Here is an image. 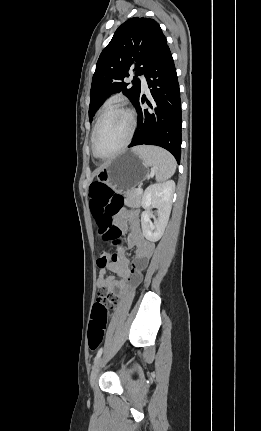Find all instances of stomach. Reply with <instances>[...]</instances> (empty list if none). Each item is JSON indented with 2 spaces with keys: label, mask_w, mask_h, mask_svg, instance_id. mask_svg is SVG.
<instances>
[{
  "label": "stomach",
  "mask_w": 261,
  "mask_h": 431,
  "mask_svg": "<svg viewBox=\"0 0 261 431\" xmlns=\"http://www.w3.org/2000/svg\"><path fill=\"white\" fill-rule=\"evenodd\" d=\"M149 166L141 156L126 150L108 161L97 173L99 182L119 192L133 190L148 176Z\"/></svg>",
  "instance_id": "1"
}]
</instances>
